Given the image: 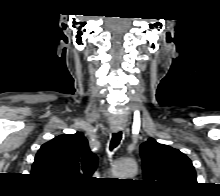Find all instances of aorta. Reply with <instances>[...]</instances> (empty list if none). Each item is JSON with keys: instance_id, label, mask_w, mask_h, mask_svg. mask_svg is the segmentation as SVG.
I'll list each match as a JSON object with an SVG mask.
<instances>
[{"instance_id": "obj_1", "label": "aorta", "mask_w": 220, "mask_h": 196, "mask_svg": "<svg viewBox=\"0 0 220 196\" xmlns=\"http://www.w3.org/2000/svg\"><path fill=\"white\" fill-rule=\"evenodd\" d=\"M137 172V164L134 160L131 159H123L116 162L114 165V173L118 177H122L121 179H127L128 177H132Z\"/></svg>"}]
</instances>
